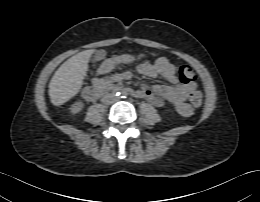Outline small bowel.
Here are the masks:
<instances>
[{
    "mask_svg": "<svg viewBox=\"0 0 260 202\" xmlns=\"http://www.w3.org/2000/svg\"><path fill=\"white\" fill-rule=\"evenodd\" d=\"M132 57L129 55L114 56L106 59L98 69V75H104L112 72L121 65L132 62ZM138 71L145 77L156 78L163 77L167 81V85H155L151 88L144 87L136 90L135 95L138 98H143L152 103L154 106L161 107L165 101L171 103L178 114L183 117H189L193 113L192 107L186 102V97L189 93L196 89V83L183 84L180 83L176 75V69L172 62L166 57L158 58L154 63H142L138 66ZM132 74L129 72L122 74H114L109 77H96L94 85L100 81L117 82L122 79H129Z\"/></svg>",
    "mask_w": 260,
    "mask_h": 202,
    "instance_id": "small-bowel-1",
    "label": "small bowel"
}]
</instances>
